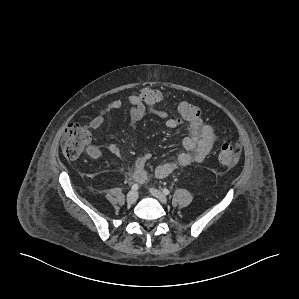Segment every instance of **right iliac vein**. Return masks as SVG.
I'll return each mask as SVG.
<instances>
[{"instance_id": "right-iliac-vein-1", "label": "right iliac vein", "mask_w": 299, "mask_h": 299, "mask_svg": "<svg viewBox=\"0 0 299 299\" xmlns=\"http://www.w3.org/2000/svg\"><path fill=\"white\" fill-rule=\"evenodd\" d=\"M138 198V193L134 190L128 192L127 197H126V201L128 204H133L136 202Z\"/></svg>"}]
</instances>
